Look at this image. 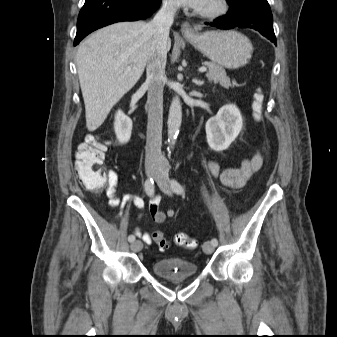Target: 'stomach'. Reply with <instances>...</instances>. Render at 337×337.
Instances as JSON below:
<instances>
[{
  "instance_id": "obj_1",
  "label": "stomach",
  "mask_w": 337,
  "mask_h": 337,
  "mask_svg": "<svg viewBox=\"0 0 337 337\" xmlns=\"http://www.w3.org/2000/svg\"><path fill=\"white\" fill-rule=\"evenodd\" d=\"M185 38L213 63L237 69L248 63L253 47L250 40L236 31H208Z\"/></svg>"
}]
</instances>
